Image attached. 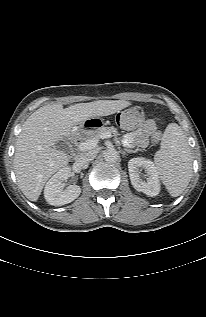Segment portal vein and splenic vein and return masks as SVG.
I'll list each match as a JSON object with an SVG mask.
<instances>
[{"mask_svg":"<svg viewBox=\"0 0 206 317\" xmlns=\"http://www.w3.org/2000/svg\"><path fill=\"white\" fill-rule=\"evenodd\" d=\"M112 135L109 133H103L100 135V139H106L110 138ZM99 139L97 138H92L87 140L86 142H83L79 145V150L84 151V150H90L93 149L94 147L97 146Z\"/></svg>","mask_w":206,"mask_h":317,"instance_id":"18ae733b","label":"portal vein and splenic vein"}]
</instances>
